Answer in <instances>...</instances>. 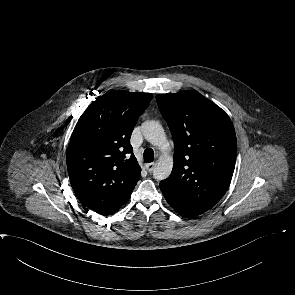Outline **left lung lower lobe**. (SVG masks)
<instances>
[{"instance_id": "0a47b994", "label": "left lung lower lobe", "mask_w": 295, "mask_h": 295, "mask_svg": "<svg viewBox=\"0 0 295 295\" xmlns=\"http://www.w3.org/2000/svg\"><path fill=\"white\" fill-rule=\"evenodd\" d=\"M163 195L165 196V199L167 200V202L169 203V205L181 216L183 217H187V218H191L193 216H191L190 214H188L185 210H183L180 206H178L177 201L175 199V197H173L172 195L169 194V192H167L164 188H162L160 186Z\"/></svg>"}]
</instances>
